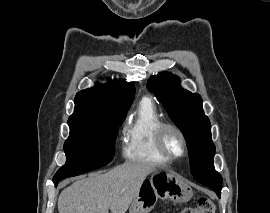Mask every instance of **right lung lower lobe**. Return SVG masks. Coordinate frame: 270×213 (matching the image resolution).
I'll return each mask as SVG.
<instances>
[{
    "instance_id": "1",
    "label": "right lung lower lobe",
    "mask_w": 270,
    "mask_h": 213,
    "mask_svg": "<svg viewBox=\"0 0 270 213\" xmlns=\"http://www.w3.org/2000/svg\"><path fill=\"white\" fill-rule=\"evenodd\" d=\"M53 182H54L55 186H57V185H58V181H53Z\"/></svg>"
}]
</instances>
